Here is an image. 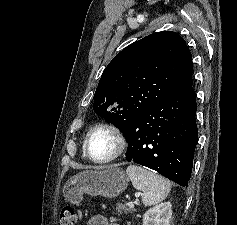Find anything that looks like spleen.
Instances as JSON below:
<instances>
[{"instance_id":"1","label":"spleen","mask_w":237,"mask_h":225,"mask_svg":"<svg viewBox=\"0 0 237 225\" xmlns=\"http://www.w3.org/2000/svg\"><path fill=\"white\" fill-rule=\"evenodd\" d=\"M126 173L137 190H141L145 206L156 205L166 199L171 183L162 176L137 165H129Z\"/></svg>"}]
</instances>
